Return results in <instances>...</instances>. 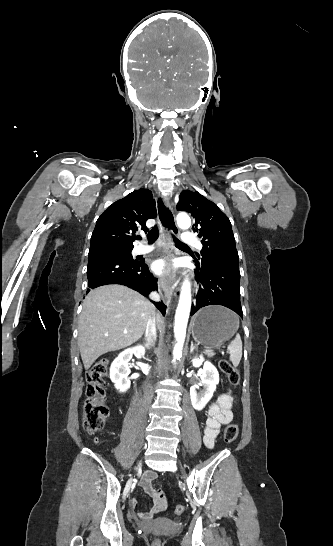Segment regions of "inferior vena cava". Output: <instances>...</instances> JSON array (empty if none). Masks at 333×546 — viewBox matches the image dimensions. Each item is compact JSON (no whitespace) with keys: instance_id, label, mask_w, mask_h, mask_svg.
<instances>
[{"instance_id":"inferior-vena-cava-1","label":"inferior vena cava","mask_w":333,"mask_h":546,"mask_svg":"<svg viewBox=\"0 0 333 546\" xmlns=\"http://www.w3.org/2000/svg\"><path fill=\"white\" fill-rule=\"evenodd\" d=\"M150 298L156 302L160 301V295L157 292H151ZM146 345L152 344L156 340V318L153 316L147 324L145 331Z\"/></svg>"}]
</instances>
